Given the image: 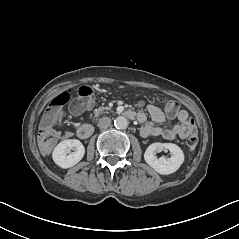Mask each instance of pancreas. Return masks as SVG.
Segmentation results:
<instances>
[{
	"mask_svg": "<svg viewBox=\"0 0 239 239\" xmlns=\"http://www.w3.org/2000/svg\"><path fill=\"white\" fill-rule=\"evenodd\" d=\"M111 111V108L108 106H100L99 108H96L93 113L89 115L90 119L97 120L100 115L105 114L107 112Z\"/></svg>",
	"mask_w": 239,
	"mask_h": 239,
	"instance_id": "obj_1",
	"label": "pancreas"
}]
</instances>
